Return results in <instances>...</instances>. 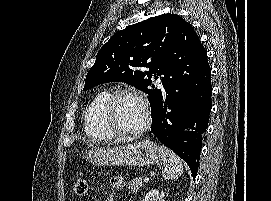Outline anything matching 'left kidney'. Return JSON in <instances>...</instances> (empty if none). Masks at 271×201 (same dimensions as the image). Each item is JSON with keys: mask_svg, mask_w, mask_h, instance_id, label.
<instances>
[{"mask_svg": "<svg viewBox=\"0 0 271 201\" xmlns=\"http://www.w3.org/2000/svg\"><path fill=\"white\" fill-rule=\"evenodd\" d=\"M163 197H164L163 192L160 193L159 190L152 189L146 194L143 201H165Z\"/></svg>", "mask_w": 271, "mask_h": 201, "instance_id": "obj_1", "label": "left kidney"}]
</instances>
